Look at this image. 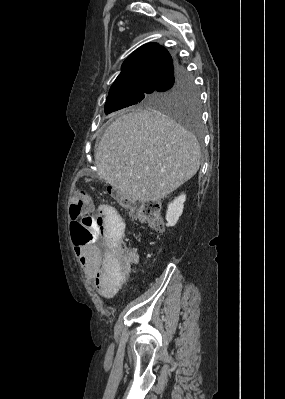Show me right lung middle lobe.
Returning <instances> with one entry per match:
<instances>
[{"mask_svg": "<svg viewBox=\"0 0 285 399\" xmlns=\"http://www.w3.org/2000/svg\"><path fill=\"white\" fill-rule=\"evenodd\" d=\"M135 106L137 108L157 110L174 116L192 128H197L200 119L198 91L188 73L156 89H140L130 92L108 95L105 113Z\"/></svg>", "mask_w": 285, "mask_h": 399, "instance_id": "right-lung-middle-lobe-1", "label": "right lung middle lobe"}]
</instances>
